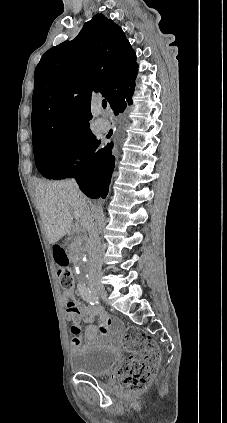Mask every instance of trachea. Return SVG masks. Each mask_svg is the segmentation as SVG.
<instances>
[{"mask_svg": "<svg viewBox=\"0 0 227 423\" xmlns=\"http://www.w3.org/2000/svg\"><path fill=\"white\" fill-rule=\"evenodd\" d=\"M106 106H107V102H106V100H102V107H103V108H106Z\"/></svg>", "mask_w": 227, "mask_h": 423, "instance_id": "obj_1", "label": "trachea"}]
</instances>
